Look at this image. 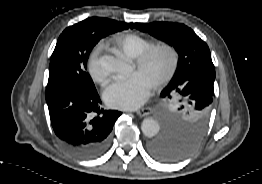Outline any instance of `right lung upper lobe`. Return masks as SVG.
Wrapping results in <instances>:
<instances>
[{
    "label": "right lung upper lobe",
    "mask_w": 262,
    "mask_h": 184,
    "mask_svg": "<svg viewBox=\"0 0 262 184\" xmlns=\"http://www.w3.org/2000/svg\"><path fill=\"white\" fill-rule=\"evenodd\" d=\"M113 21H114V20H113ZM115 22H117V21H115ZM118 23H121V24L127 25L128 27H130V26L132 25V23H129V24H127V23H123V22H118Z\"/></svg>",
    "instance_id": "cb5924a9"
}]
</instances>
